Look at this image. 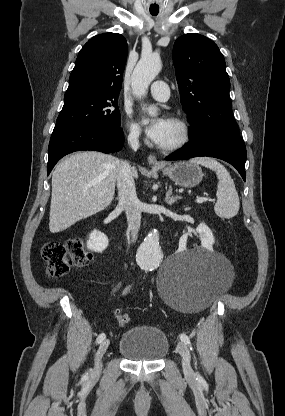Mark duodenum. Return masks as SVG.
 <instances>
[{
  "label": "duodenum",
  "instance_id": "duodenum-1",
  "mask_svg": "<svg viewBox=\"0 0 285 416\" xmlns=\"http://www.w3.org/2000/svg\"><path fill=\"white\" fill-rule=\"evenodd\" d=\"M119 246H120L121 248H123V247L125 246V242H124V240H120V242H119Z\"/></svg>",
  "mask_w": 285,
  "mask_h": 416
}]
</instances>
